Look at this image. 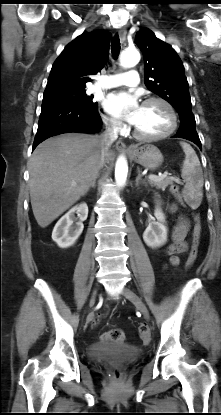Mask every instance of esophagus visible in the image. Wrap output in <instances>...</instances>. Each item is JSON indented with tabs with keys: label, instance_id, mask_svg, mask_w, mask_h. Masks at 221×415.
Here are the masks:
<instances>
[{
	"label": "esophagus",
	"instance_id": "1",
	"mask_svg": "<svg viewBox=\"0 0 221 415\" xmlns=\"http://www.w3.org/2000/svg\"><path fill=\"white\" fill-rule=\"evenodd\" d=\"M119 36L121 38V40L123 41L126 37V29L125 28H120L119 31ZM115 147L117 150H122V151H128L129 149L127 148L126 144L122 141V140H118L115 144Z\"/></svg>",
	"mask_w": 221,
	"mask_h": 415
}]
</instances>
